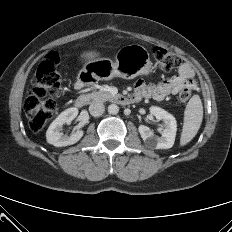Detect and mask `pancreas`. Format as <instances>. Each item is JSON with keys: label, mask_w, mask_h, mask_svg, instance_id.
<instances>
[{"label": "pancreas", "mask_w": 232, "mask_h": 232, "mask_svg": "<svg viewBox=\"0 0 232 232\" xmlns=\"http://www.w3.org/2000/svg\"><path fill=\"white\" fill-rule=\"evenodd\" d=\"M88 102H105L108 100H113L115 96H113L110 92L105 89H100L99 91H93L85 95Z\"/></svg>", "instance_id": "cf45deb5"}]
</instances>
